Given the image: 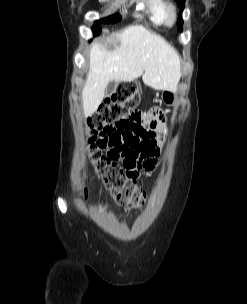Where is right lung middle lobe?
I'll return each mask as SVG.
<instances>
[{"label":"right lung middle lobe","instance_id":"1","mask_svg":"<svg viewBox=\"0 0 247 304\" xmlns=\"http://www.w3.org/2000/svg\"><path fill=\"white\" fill-rule=\"evenodd\" d=\"M121 20V17L118 14L97 20L95 25L93 26L92 30L94 34H99L101 32L100 23H115Z\"/></svg>","mask_w":247,"mask_h":304}]
</instances>
